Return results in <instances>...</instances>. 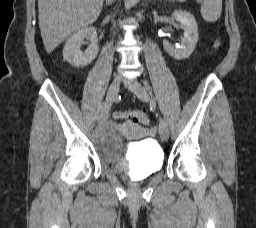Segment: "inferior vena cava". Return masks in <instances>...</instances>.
Wrapping results in <instances>:
<instances>
[{
	"instance_id": "obj_1",
	"label": "inferior vena cava",
	"mask_w": 256,
	"mask_h": 228,
	"mask_svg": "<svg viewBox=\"0 0 256 228\" xmlns=\"http://www.w3.org/2000/svg\"><path fill=\"white\" fill-rule=\"evenodd\" d=\"M107 2L114 1V0H106Z\"/></svg>"
}]
</instances>
